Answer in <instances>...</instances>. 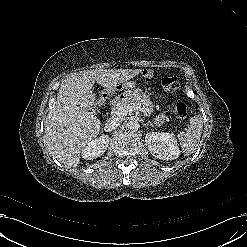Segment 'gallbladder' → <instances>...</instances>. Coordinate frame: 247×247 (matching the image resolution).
<instances>
[{"label":"gallbladder","instance_id":"gallbladder-1","mask_svg":"<svg viewBox=\"0 0 247 247\" xmlns=\"http://www.w3.org/2000/svg\"><path fill=\"white\" fill-rule=\"evenodd\" d=\"M92 112H93V113H96V110L92 109Z\"/></svg>","mask_w":247,"mask_h":247}]
</instances>
